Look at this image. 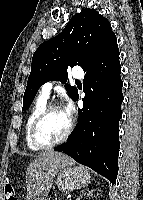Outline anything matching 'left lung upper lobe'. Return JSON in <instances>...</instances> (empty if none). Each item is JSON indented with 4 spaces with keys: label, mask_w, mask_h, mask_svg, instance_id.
Returning <instances> with one entry per match:
<instances>
[{
    "label": "left lung upper lobe",
    "mask_w": 143,
    "mask_h": 200,
    "mask_svg": "<svg viewBox=\"0 0 143 200\" xmlns=\"http://www.w3.org/2000/svg\"><path fill=\"white\" fill-rule=\"evenodd\" d=\"M115 37L109 21L94 9H83L75 14L59 35L42 43L35 51L22 110L29 108L45 82L66 83L69 66L86 69ZM65 88L74 99L77 89L67 84Z\"/></svg>",
    "instance_id": "5c2ea615"
}]
</instances>
